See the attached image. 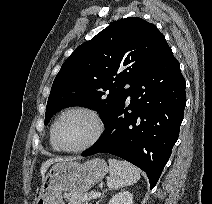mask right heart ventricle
Masks as SVG:
<instances>
[{
	"instance_id": "1",
	"label": "right heart ventricle",
	"mask_w": 212,
	"mask_h": 204,
	"mask_svg": "<svg viewBox=\"0 0 212 204\" xmlns=\"http://www.w3.org/2000/svg\"><path fill=\"white\" fill-rule=\"evenodd\" d=\"M50 144H51V147L53 148V150H55V151H58V150H59V149L55 146V144H54V142H53V140H52L51 135H50Z\"/></svg>"
}]
</instances>
